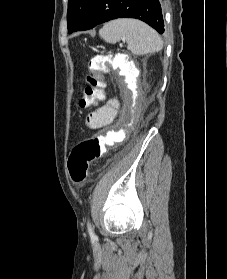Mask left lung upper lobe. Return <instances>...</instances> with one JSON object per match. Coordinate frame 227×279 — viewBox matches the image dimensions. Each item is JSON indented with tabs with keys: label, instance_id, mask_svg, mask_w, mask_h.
I'll return each instance as SVG.
<instances>
[{
	"label": "left lung upper lobe",
	"instance_id": "5c2ea615",
	"mask_svg": "<svg viewBox=\"0 0 227 279\" xmlns=\"http://www.w3.org/2000/svg\"><path fill=\"white\" fill-rule=\"evenodd\" d=\"M93 0H69L67 11L68 32L79 30Z\"/></svg>",
	"mask_w": 227,
	"mask_h": 279
}]
</instances>
